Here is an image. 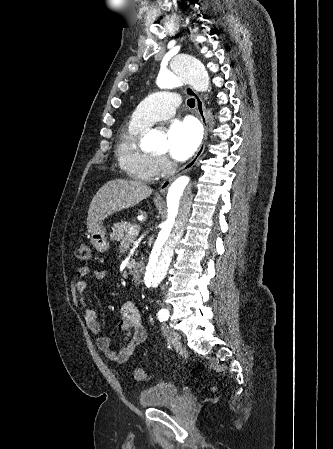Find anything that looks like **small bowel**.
Listing matches in <instances>:
<instances>
[{"instance_id": "1", "label": "small bowel", "mask_w": 333, "mask_h": 449, "mask_svg": "<svg viewBox=\"0 0 333 449\" xmlns=\"http://www.w3.org/2000/svg\"><path fill=\"white\" fill-rule=\"evenodd\" d=\"M89 274L90 268L87 266H82L77 270L70 284L72 297L83 308L86 326L96 336L97 346L106 358L115 363H125L147 336L139 310L132 301H126L120 306L121 318L118 330L122 337V346L119 350H114L111 347L110 339L101 333V322L97 313L86 302L84 292L87 287L86 278ZM93 275L97 280H103L106 277V272L95 270Z\"/></svg>"}]
</instances>
